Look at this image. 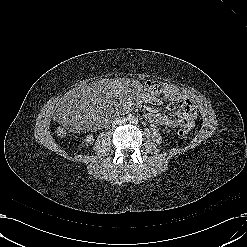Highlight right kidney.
<instances>
[{
	"label": "right kidney",
	"instance_id": "right-kidney-1",
	"mask_svg": "<svg viewBox=\"0 0 247 247\" xmlns=\"http://www.w3.org/2000/svg\"><path fill=\"white\" fill-rule=\"evenodd\" d=\"M84 141L87 143H91L93 141V135H87Z\"/></svg>",
	"mask_w": 247,
	"mask_h": 247
}]
</instances>
